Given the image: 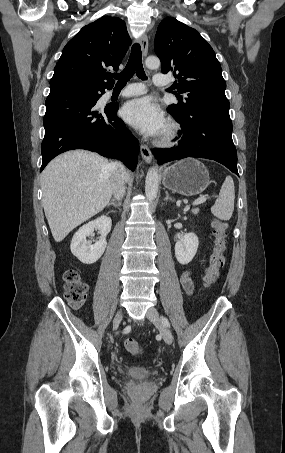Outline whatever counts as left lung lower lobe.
<instances>
[{
    "mask_svg": "<svg viewBox=\"0 0 285 453\" xmlns=\"http://www.w3.org/2000/svg\"><path fill=\"white\" fill-rule=\"evenodd\" d=\"M173 116L182 128L176 138L179 143L168 149H153L158 164L186 157L206 158L223 164L238 175L229 114L199 110L184 117Z\"/></svg>",
    "mask_w": 285,
    "mask_h": 453,
    "instance_id": "obj_1",
    "label": "left lung lower lobe"
}]
</instances>
